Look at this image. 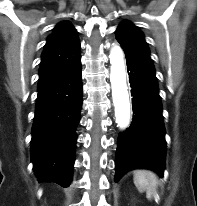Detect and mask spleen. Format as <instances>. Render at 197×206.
Segmentation results:
<instances>
[{
  "mask_svg": "<svg viewBox=\"0 0 197 206\" xmlns=\"http://www.w3.org/2000/svg\"><path fill=\"white\" fill-rule=\"evenodd\" d=\"M158 179L157 176L147 170H138L134 173V184L139 192H146L147 199L151 200L156 188Z\"/></svg>",
  "mask_w": 197,
  "mask_h": 206,
  "instance_id": "3e777b00",
  "label": "spleen"
}]
</instances>
